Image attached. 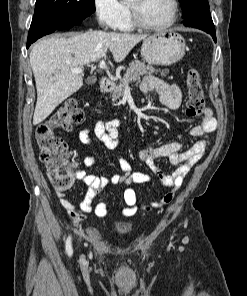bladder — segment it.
Listing matches in <instances>:
<instances>
[{
	"label": "bladder",
	"mask_w": 247,
	"mask_h": 296,
	"mask_svg": "<svg viewBox=\"0 0 247 296\" xmlns=\"http://www.w3.org/2000/svg\"><path fill=\"white\" fill-rule=\"evenodd\" d=\"M117 231L119 233H127L129 231V227H127V226H119V227H117Z\"/></svg>",
	"instance_id": "obj_1"
}]
</instances>
